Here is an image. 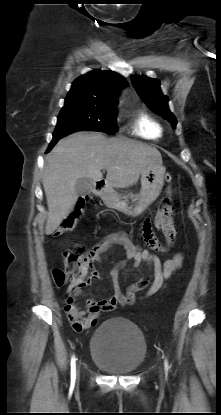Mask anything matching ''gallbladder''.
<instances>
[{
	"label": "gallbladder",
	"instance_id": "1",
	"mask_svg": "<svg viewBox=\"0 0 221 415\" xmlns=\"http://www.w3.org/2000/svg\"><path fill=\"white\" fill-rule=\"evenodd\" d=\"M94 181L90 178H79L75 183V191L77 195H86L92 191Z\"/></svg>",
	"mask_w": 221,
	"mask_h": 415
}]
</instances>
